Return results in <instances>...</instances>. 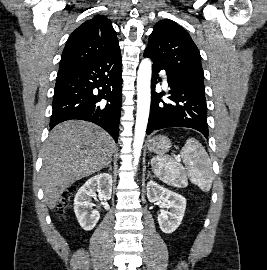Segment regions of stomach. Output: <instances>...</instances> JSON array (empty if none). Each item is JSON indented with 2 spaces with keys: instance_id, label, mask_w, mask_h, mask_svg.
I'll return each mask as SVG.
<instances>
[{
  "instance_id": "1",
  "label": "stomach",
  "mask_w": 267,
  "mask_h": 270,
  "mask_svg": "<svg viewBox=\"0 0 267 270\" xmlns=\"http://www.w3.org/2000/svg\"><path fill=\"white\" fill-rule=\"evenodd\" d=\"M147 147L150 152L162 155L171 148V141L166 136L158 135L148 141Z\"/></svg>"
}]
</instances>
